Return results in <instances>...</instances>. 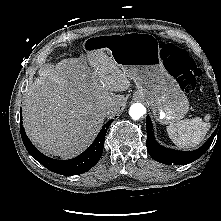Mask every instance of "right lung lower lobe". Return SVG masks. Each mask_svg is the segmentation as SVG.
<instances>
[{"mask_svg":"<svg viewBox=\"0 0 221 221\" xmlns=\"http://www.w3.org/2000/svg\"><path fill=\"white\" fill-rule=\"evenodd\" d=\"M112 121L113 120L108 121L103 126V128L101 129L100 133L98 134L94 142L86 151H84L81 155L70 160L52 159L44 156L41 152H39L31 143V141L29 140V138L25 133V130L22 126L21 115H20V132L23 143L27 151L34 159H36L40 164H42L52 172L61 175L71 176L86 172L99 161L103 152L105 135Z\"/></svg>","mask_w":221,"mask_h":221,"instance_id":"right-lung-lower-lobe-1","label":"right lung lower lobe"}]
</instances>
